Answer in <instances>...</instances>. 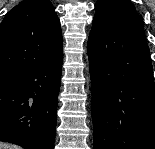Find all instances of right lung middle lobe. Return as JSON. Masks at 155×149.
<instances>
[{
	"label": "right lung middle lobe",
	"mask_w": 155,
	"mask_h": 149,
	"mask_svg": "<svg viewBox=\"0 0 155 149\" xmlns=\"http://www.w3.org/2000/svg\"><path fill=\"white\" fill-rule=\"evenodd\" d=\"M15 76L16 74L11 73L0 74V84L13 80Z\"/></svg>",
	"instance_id": "dd1d6c3e"
}]
</instances>
